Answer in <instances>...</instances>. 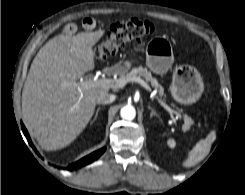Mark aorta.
I'll list each match as a JSON object with an SVG mask.
<instances>
[{
  "instance_id": "aorta-1",
  "label": "aorta",
  "mask_w": 245,
  "mask_h": 195,
  "mask_svg": "<svg viewBox=\"0 0 245 195\" xmlns=\"http://www.w3.org/2000/svg\"><path fill=\"white\" fill-rule=\"evenodd\" d=\"M120 114L124 120H133L136 116V111L133 106L126 105L121 109Z\"/></svg>"
}]
</instances>
